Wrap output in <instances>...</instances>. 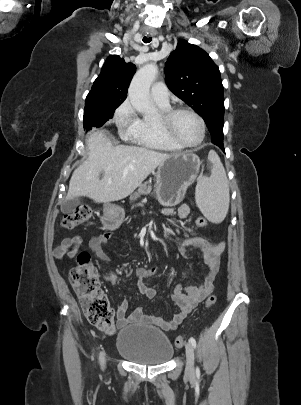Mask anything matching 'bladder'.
Here are the masks:
<instances>
[{"label":"bladder","instance_id":"31cf9c89","mask_svg":"<svg viewBox=\"0 0 301 405\" xmlns=\"http://www.w3.org/2000/svg\"><path fill=\"white\" fill-rule=\"evenodd\" d=\"M116 349L124 358L144 365L164 364L174 353L168 336L147 325H131L121 329L117 335Z\"/></svg>","mask_w":301,"mask_h":405}]
</instances>
